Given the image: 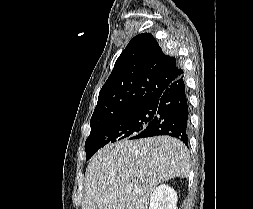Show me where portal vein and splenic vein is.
<instances>
[{"label": "portal vein and splenic vein", "instance_id": "obj_1", "mask_svg": "<svg viewBox=\"0 0 253 209\" xmlns=\"http://www.w3.org/2000/svg\"><path fill=\"white\" fill-rule=\"evenodd\" d=\"M126 192H131V189H127Z\"/></svg>", "mask_w": 253, "mask_h": 209}]
</instances>
